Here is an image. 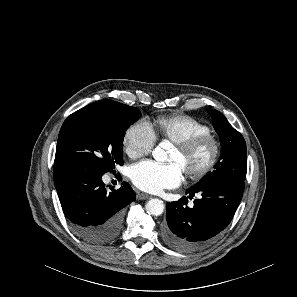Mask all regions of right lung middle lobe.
<instances>
[{
    "label": "right lung middle lobe",
    "instance_id": "1",
    "mask_svg": "<svg viewBox=\"0 0 297 297\" xmlns=\"http://www.w3.org/2000/svg\"><path fill=\"white\" fill-rule=\"evenodd\" d=\"M117 114L83 110L71 114L59 133L54 165H76L100 174L123 165L125 131L141 115L118 103Z\"/></svg>",
    "mask_w": 297,
    "mask_h": 297
}]
</instances>
